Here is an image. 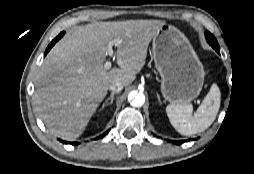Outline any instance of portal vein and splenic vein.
<instances>
[{
	"label": "portal vein and splenic vein",
	"mask_w": 254,
	"mask_h": 174,
	"mask_svg": "<svg viewBox=\"0 0 254 174\" xmlns=\"http://www.w3.org/2000/svg\"><path fill=\"white\" fill-rule=\"evenodd\" d=\"M119 43H121V40H118V39L113 40V41H110V42L108 43V45H107V47L105 48V50H106L107 54H108L110 57H112L113 54H114V52H113V45L116 46V45H118ZM111 66H112L111 61H107V62L104 64V68L107 69V70H109V69L111 68Z\"/></svg>",
	"instance_id": "1"
}]
</instances>
